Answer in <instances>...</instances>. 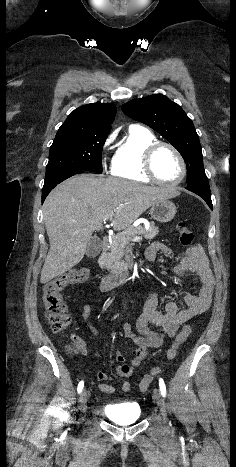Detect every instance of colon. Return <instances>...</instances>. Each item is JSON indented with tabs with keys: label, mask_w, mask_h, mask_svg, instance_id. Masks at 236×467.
<instances>
[{
	"label": "colon",
	"mask_w": 236,
	"mask_h": 467,
	"mask_svg": "<svg viewBox=\"0 0 236 467\" xmlns=\"http://www.w3.org/2000/svg\"><path fill=\"white\" fill-rule=\"evenodd\" d=\"M177 232L180 243L183 246H190L193 243L194 234L183 222H179L177 224ZM87 277L88 270L86 268H76L54 277L44 285L43 305L46 319L53 332L59 333L64 331L71 321L67 306L62 299L61 292L70 285L85 281ZM191 330V326L189 325H185L182 328L180 333L177 335L175 342L167 351V359L173 360L176 357L179 346L189 337ZM70 348L73 352H82L84 344L79 337L71 336ZM160 371V368H154L143 377L139 385L141 391H146L148 389V386L154 376Z\"/></svg>",
	"instance_id": "obj_1"
}]
</instances>
